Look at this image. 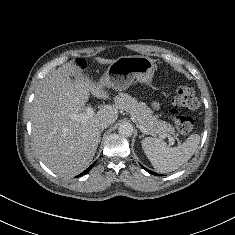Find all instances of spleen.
Returning <instances> with one entry per match:
<instances>
[{
  "mask_svg": "<svg viewBox=\"0 0 235 235\" xmlns=\"http://www.w3.org/2000/svg\"><path fill=\"white\" fill-rule=\"evenodd\" d=\"M199 142L198 134L190 135L177 147H169L162 139L147 137L142 140V148L157 172L168 173L186 163L197 150Z\"/></svg>",
  "mask_w": 235,
  "mask_h": 235,
  "instance_id": "obj_1",
  "label": "spleen"
}]
</instances>
